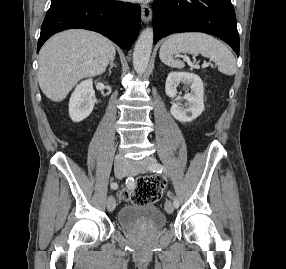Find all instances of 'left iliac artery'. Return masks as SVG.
<instances>
[{"label": "left iliac artery", "mask_w": 286, "mask_h": 269, "mask_svg": "<svg viewBox=\"0 0 286 269\" xmlns=\"http://www.w3.org/2000/svg\"><path fill=\"white\" fill-rule=\"evenodd\" d=\"M149 169H150L151 171L157 172V173H162V172L167 173L166 168H165L164 166H162L161 164H159V163H156V164L151 165ZM172 199H173L174 207H175V208H178V207H179V201H178V199H177L175 196H173Z\"/></svg>", "instance_id": "44dca946"}]
</instances>
